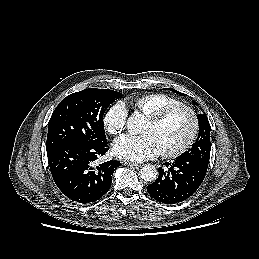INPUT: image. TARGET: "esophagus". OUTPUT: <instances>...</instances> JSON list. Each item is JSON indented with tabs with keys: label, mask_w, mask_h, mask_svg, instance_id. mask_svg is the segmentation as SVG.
<instances>
[{
	"label": "esophagus",
	"mask_w": 259,
	"mask_h": 259,
	"mask_svg": "<svg viewBox=\"0 0 259 259\" xmlns=\"http://www.w3.org/2000/svg\"><path fill=\"white\" fill-rule=\"evenodd\" d=\"M124 165H128L134 168H140L142 167V164H136V163H130V162H123Z\"/></svg>",
	"instance_id": "esophagus-1"
}]
</instances>
